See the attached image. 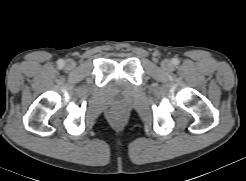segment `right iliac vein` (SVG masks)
I'll return each mask as SVG.
<instances>
[{"label": "right iliac vein", "instance_id": "right-iliac-vein-1", "mask_svg": "<svg viewBox=\"0 0 246 181\" xmlns=\"http://www.w3.org/2000/svg\"><path fill=\"white\" fill-rule=\"evenodd\" d=\"M75 66H76V63H75V61L72 60V59L67 60L66 63H65V67H66L68 70L74 69Z\"/></svg>", "mask_w": 246, "mask_h": 181}]
</instances>
